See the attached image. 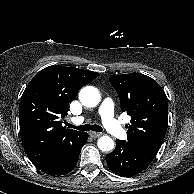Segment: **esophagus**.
<instances>
[{
  "label": "esophagus",
  "mask_w": 194,
  "mask_h": 194,
  "mask_svg": "<svg viewBox=\"0 0 194 194\" xmlns=\"http://www.w3.org/2000/svg\"><path fill=\"white\" fill-rule=\"evenodd\" d=\"M90 136L93 137V138H98V137L102 136V133H100V132H91Z\"/></svg>",
  "instance_id": "obj_1"
}]
</instances>
